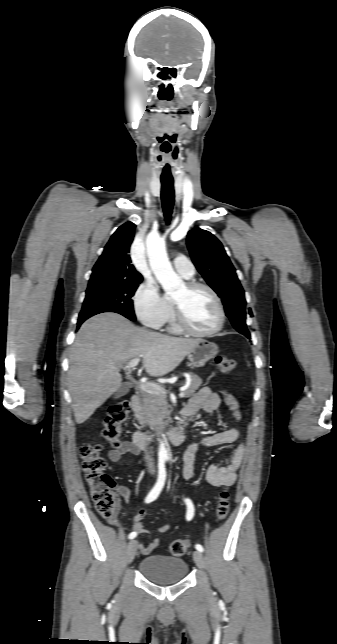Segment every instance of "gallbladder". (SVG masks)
Here are the masks:
<instances>
[{"instance_id": "obj_1", "label": "gallbladder", "mask_w": 337, "mask_h": 644, "mask_svg": "<svg viewBox=\"0 0 337 644\" xmlns=\"http://www.w3.org/2000/svg\"><path fill=\"white\" fill-rule=\"evenodd\" d=\"M129 392V386L126 383H123L120 388L115 393V398L122 397Z\"/></svg>"}]
</instances>
